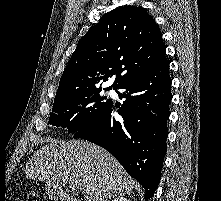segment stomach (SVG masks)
<instances>
[{"instance_id":"obj_1","label":"stomach","mask_w":221,"mask_h":201,"mask_svg":"<svg viewBox=\"0 0 221 201\" xmlns=\"http://www.w3.org/2000/svg\"><path fill=\"white\" fill-rule=\"evenodd\" d=\"M50 188H51V187H49V186L47 187V193H48V195L51 196V197H56V196H55L56 194H55Z\"/></svg>"}]
</instances>
